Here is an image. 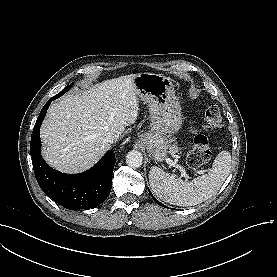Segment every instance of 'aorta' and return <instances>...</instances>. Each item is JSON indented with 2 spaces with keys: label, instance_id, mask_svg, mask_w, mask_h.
I'll list each match as a JSON object with an SVG mask.
<instances>
[{
  "label": "aorta",
  "instance_id": "1",
  "mask_svg": "<svg viewBox=\"0 0 277 277\" xmlns=\"http://www.w3.org/2000/svg\"><path fill=\"white\" fill-rule=\"evenodd\" d=\"M126 163L131 168H138L143 163L142 153L137 150H131L126 155Z\"/></svg>",
  "mask_w": 277,
  "mask_h": 277
}]
</instances>
